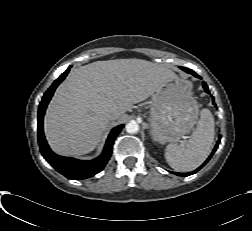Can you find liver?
<instances>
[{
  "label": "liver",
  "instance_id": "obj_1",
  "mask_svg": "<svg viewBox=\"0 0 252 231\" xmlns=\"http://www.w3.org/2000/svg\"><path fill=\"white\" fill-rule=\"evenodd\" d=\"M174 76L142 59L96 61L72 70L47 108L44 131L50 147L65 156L91 152L110 120L122 118Z\"/></svg>",
  "mask_w": 252,
  "mask_h": 231
}]
</instances>
